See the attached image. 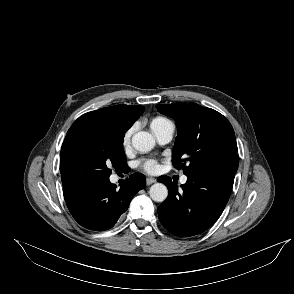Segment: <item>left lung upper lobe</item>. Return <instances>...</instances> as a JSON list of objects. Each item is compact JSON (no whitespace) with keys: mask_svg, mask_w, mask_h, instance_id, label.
<instances>
[{"mask_svg":"<svg viewBox=\"0 0 294 294\" xmlns=\"http://www.w3.org/2000/svg\"><path fill=\"white\" fill-rule=\"evenodd\" d=\"M157 110L176 121L178 135L172 162L186 176L197 175L223 156L237 154L230 122L219 112L195 103L157 104Z\"/></svg>","mask_w":294,"mask_h":294,"instance_id":"left-lung-upper-lobe-1","label":"left lung upper lobe"}]
</instances>
